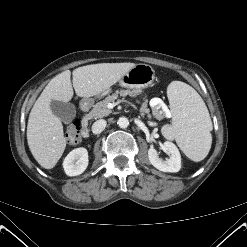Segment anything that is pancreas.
Masks as SVG:
<instances>
[{"mask_svg": "<svg viewBox=\"0 0 247 247\" xmlns=\"http://www.w3.org/2000/svg\"><path fill=\"white\" fill-rule=\"evenodd\" d=\"M138 91H131V90H121L117 91L116 93L107 96L104 100L96 103L93 106V109L86 115L87 119H98L108 116L112 113L110 109L107 108V105L110 102H114L118 96L125 97L127 95L135 97L137 95ZM140 112L142 115L149 114V109L147 108V100L141 105ZM159 112V106H156L153 108V114L156 115V113Z\"/></svg>", "mask_w": 247, "mask_h": 247, "instance_id": "obj_1", "label": "pancreas"}]
</instances>
